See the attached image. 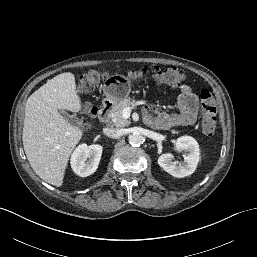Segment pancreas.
Instances as JSON below:
<instances>
[{"label":"pancreas","mask_w":257,"mask_h":257,"mask_svg":"<svg viewBox=\"0 0 257 257\" xmlns=\"http://www.w3.org/2000/svg\"><path fill=\"white\" fill-rule=\"evenodd\" d=\"M135 104H136L135 100H131L130 98H125L113 107L112 113H111V118H112V121L114 122L115 126L125 127V126L129 125L130 122L127 119H124L122 117V111L127 107L132 109Z\"/></svg>","instance_id":"1"}]
</instances>
